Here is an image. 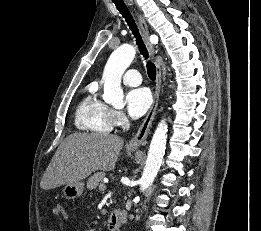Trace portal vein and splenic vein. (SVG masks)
Listing matches in <instances>:
<instances>
[{"mask_svg":"<svg viewBox=\"0 0 261 231\" xmlns=\"http://www.w3.org/2000/svg\"><path fill=\"white\" fill-rule=\"evenodd\" d=\"M99 189L102 190V191L106 190V185L105 184H101L99 186Z\"/></svg>","mask_w":261,"mask_h":231,"instance_id":"obj_1","label":"portal vein and splenic vein"}]
</instances>
